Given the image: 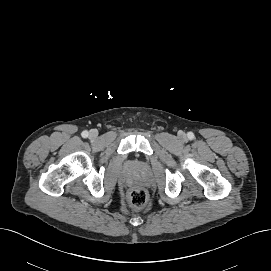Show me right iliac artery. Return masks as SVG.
Masks as SVG:
<instances>
[{
	"instance_id": "right-iliac-artery-1",
	"label": "right iliac artery",
	"mask_w": 271,
	"mask_h": 271,
	"mask_svg": "<svg viewBox=\"0 0 271 271\" xmlns=\"http://www.w3.org/2000/svg\"><path fill=\"white\" fill-rule=\"evenodd\" d=\"M81 135L83 138L88 137V131H83Z\"/></svg>"
}]
</instances>
